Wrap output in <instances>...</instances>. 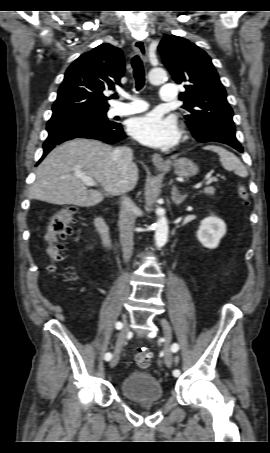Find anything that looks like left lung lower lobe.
<instances>
[{
	"instance_id": "obj_1",
	"label": "left lung lower lobe",
	"mask_w": 270,
	"mask_h": 453,
	"mask_svg": "<svg viewBox=\"0 0 270 453\" xmlns=\"http://www.w3.org/2000/svg\"><path fill=\"white\" fill-rule=\"evenodd\" d=\"M225 144H228L229 146L237 149L238 151L240 152H243V148L242 146L240 145V143L238 141H226L224 142Z\"/></svg>"
}]
</instances>
